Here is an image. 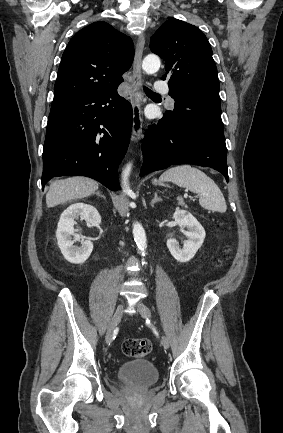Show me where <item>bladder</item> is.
<instances>
[{
  "label": "bladder",
  "mask_w": 283,
  "mask_h": 433,
  "mask_svg": "<svg viewBox=\"0 0 283 433\" xmlns=\"http://www.w3.org/2000/svg\"><path fill=\"white\" fill-rule=\"evenodd\" d=\"M116 378L129 387L147 388L158 381L159 372L148 360H137L120 365Z\"/></svg>",
  "instance_id": "bladder-1"
}]
</instances>
